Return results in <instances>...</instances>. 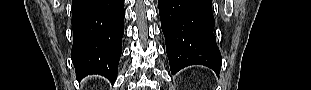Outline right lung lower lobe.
I'll return each mask as SVG.
<instances>
[{
    "label": "right lung lower lobe",
    "mask_w": 311,
    "mask_h": 90,
    "mask_svg": "<svg viewBox=\"0 0 311 90\" xmlns=\"http://www.w3.org/2000/svg\"><path fill=\"white\" fill-rule=\"evenodd\" d=\"M124 0H73L72 61L77 79L100 74L115 82L122 53Z\"/></svg>",
    "instance_id": "98d812e1"
}]
</instances>
